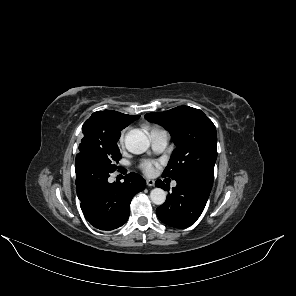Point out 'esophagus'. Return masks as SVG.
Segmentation results:
<instances>
[{
  "instance_id": "1",
  "label": "esophagus",
  "mask_w": 296,
  "mask_h": 296,
  "mask_svg": "<svg viewBox=\"0 0 296 296\" xmlns=\"http://www.w3.org/2000/svg\"><path fill=\"white\" fill-rule=\"evenodd\" d=\"M146 184L147 186L153 187L155 185V181L152 179H147Z\"/></svg>"
}]
</instances>
